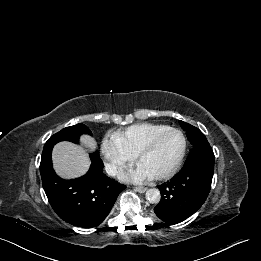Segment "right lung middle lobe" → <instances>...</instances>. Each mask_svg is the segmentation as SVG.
<instances>
[{
  "instance_id": "dd1d6c3e",
  "label": "right lung middle lobe",
  "mask_w": 261,
  "mask_h": 261,
  "mask_svg": "<svg viewBox=\"0 0 261 261\" xmlns=\"http://www.w3.org/2000/svg\"><path fill=\"white\" fill-rule=\"evenodd\" d=\"M81 134H92L91 131L83 124L66 127L49 138L44 146V151L52 150L54 144L59 141L67 140L77 143Z\"/></svg>"
}]
</instances>
